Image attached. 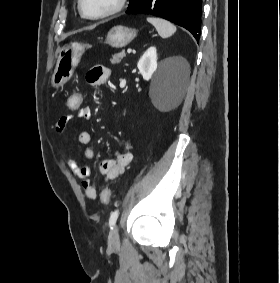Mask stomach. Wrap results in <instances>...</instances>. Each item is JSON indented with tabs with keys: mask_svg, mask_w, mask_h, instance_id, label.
<instances>
[{
	"mask_svg": "<svg viewBox=\"0 0 280 283\" xmlns=\"http://www.w3.org/2000/svg\"><path fill=\"white\" fill-rule=\"evenodd\" d=\"M136 36V29L117 25L107 33L106 43L113 48H121L128 45ZM87 47L86 44L72 42L60 48L56 67L51 77L52 87H61L71 79Z\"/></svg>",
	"mask_w": 280,
	"mask_h": 283,
	"instance_id": "1",
	"label": "stomach"
}]
</instances>
